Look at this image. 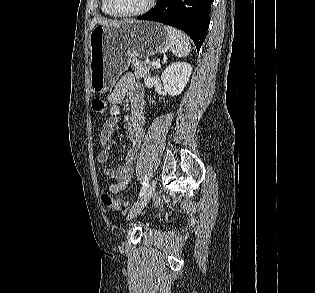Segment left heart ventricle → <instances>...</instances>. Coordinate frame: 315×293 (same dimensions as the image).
<instances>
[{
  "label": "left heart ventricle",
  "instance_id": "1",
  "mask_svg": "<svg viewBox=\"0 0 315 293\" xmlns=\"http://www.w3.org/2000/svg\"><path fill=\"white\" fill-rule=\"evenodd\" d=\"M148 0H116L118 8L125 12H133L143 8Z\"/></svg>",
  "mask_w": 315,
  "mask_h": 293
}]
</instances>
